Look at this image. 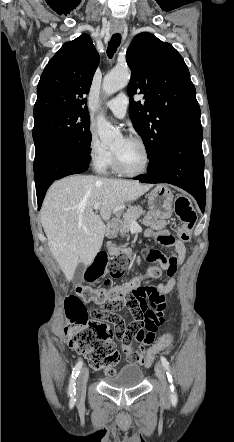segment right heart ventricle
Here are the masks:
<instances>
[{
    "label": "right heart ventricle",
    "instance_id": "e07e8e85",
    "mask_svg": "<svg viewBox=\"0 0 234 442\" xmlns=\"http://www.w3.org/2000/svg\"><path fill=\"white\" fill-rule=\"evenodd\" d=\"M109 167L114 168V167H113V158L111 159V161H110V163L108 164L107 168H109ZM107 168H106V169H107Z\"/></svg>",
    "mask_w": 234,
    "mask_h": 442
}]
</instances>
